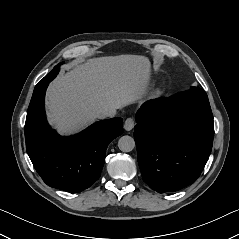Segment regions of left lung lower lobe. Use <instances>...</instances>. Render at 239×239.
Masks as SVG:
<instances>
[{
  "label": "left lung lower lobe",
  "instance_id": "obj_1",
  "mask_svg": "<svg viewBox=\"0 0 239 239\" xmlns=\"http://www.w3.org/2000/svg\"><path fill=\"white\" fill-rule=\"evenodd\" d=\"M134 139L144 182L164 193L200 176L212 149L213 115L207 94L195 90L145 103L136 114Z\"/></svg>",
  "mask_w": 239,
  "mask_h": 239
}]
</instances>
